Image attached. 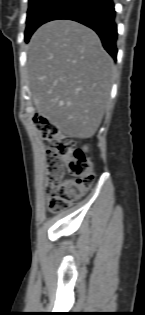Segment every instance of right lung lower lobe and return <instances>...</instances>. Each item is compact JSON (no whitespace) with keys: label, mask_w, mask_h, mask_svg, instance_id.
<instances>
[{"label":"right lung lower lobe","mask_w":145,"mask_h":315,"mask_svg":"<svg viewBox=\"0 0 145 315\" xmlns=\"http://www.w3.org/2000/svg\"><path fill=\"white\" fill-rule=\"evenodd\" d=\"M113 0H66L45 22L69 19L92 28L105 50L116 59L117 25Z\"/></svg>","instance_id":"1"}]
</instances>
